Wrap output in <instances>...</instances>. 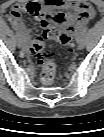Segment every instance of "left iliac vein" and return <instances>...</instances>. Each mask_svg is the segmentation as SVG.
<instances>
[{"mask_svg": "<svg viewBox=\"0 0 104 137\" xmlns=\"http://www.w3.org/2000/svg\"><path fill=\"white\" fill-rule=\"evenodd\" d=\"M85 46L83 39L77 40V49L82 50Z\"/></svg>", "mask_w": 104, "mask_h": 137, "instance_id": "obj_1", "label": "left iliac vein"}]
</instances>
